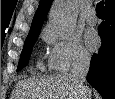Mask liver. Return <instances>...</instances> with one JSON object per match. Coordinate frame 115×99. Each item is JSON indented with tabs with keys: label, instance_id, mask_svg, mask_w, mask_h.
<instances>
[{
	"label": "liver",
	"instance_id": "liver-1",
	"mask_svg": "<svg viewBox=\"0 0 115 99\" xmlns=\"http://www.w3.org/2000/svg\"><path fill=\"white\" fill-rule=\"evenodd\" d=\"M85 97L74 83L71 74H55L47 77H33L16 84L11 99H90Z\"/></svg>",
	"mask_w": 115,
	"mask_h": 99
}]
</instances>
